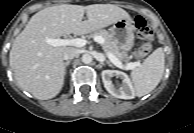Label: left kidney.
<instances>
[{
	"instance_id": "left-kidney-1",
	"label": "left kidney",
	"mask_w": 194,
	"mask_h": 133,
	"mask_svg": "<svg viewBox=\"0 0 194 133\" xmlns=\"http://www.w3.org/2000/svg\"><path fill=\"white\" fill-rule=\"evenodd\" d=\"M101 75L104 87L112 96L120 99H133L135 97V91L131 81L124 72L117 70H104ZM113 76L121 78L122 84L120 86L115 87L112 84L111 78Z\"/></svg>"
}]
</instances>
